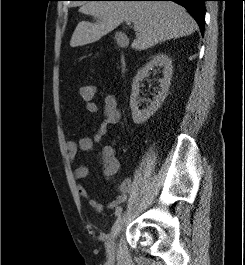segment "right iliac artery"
Returning <instances> with one entry per match:
<instances>
[{
	"label": "right iliac artery",
	"instance_id": "82829eb1",
	"mask_svg": "<svg viewBox=\"0 0 245 265\" xmlns=\"http://www.w3.org/2000/svg\"><path fill=\"white\" fill-rule=\"evenodd\" d=\"M121 212H122V207L119 206V207H117L116 210H115V215H116V216H119V215L121 214Z\"/></svg>",
	"mask_w": 245,
	"mask_h": 265
}]
</instances>
